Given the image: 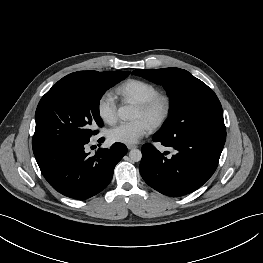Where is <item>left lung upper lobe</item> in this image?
I'll return each instance as SVG.
<instances>
[{
  "label": "left lung upper lobe",
  "mask_w": 263,
  "mask_h": 263,
  "mask_svg": "<svg viewBox=\"0 0 263 263\" xmlns=\"http://www.w3.org/2000/svg\"><path fill=\"white\" fill-rule=\"evenodd\" d=\"M161 84L171 100V114L158 134L166 137L225 132L223 111L211 88L179 68L132 72Z\"/></svg>",
  "instance_id": "5c2ea615"
}]
</instances>
